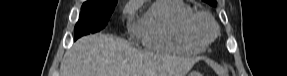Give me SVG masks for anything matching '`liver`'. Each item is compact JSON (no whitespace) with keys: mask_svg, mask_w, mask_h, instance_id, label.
<instances>
[{"mask_svg":"<svg viewBox=\"0 0 287 76\" xmlns=\"http://www.w3.org/2000/svg\"><path fill=\"white\" fill-rule=\"evenodd\" d=\"M198 61L141 52L108 34L84 36L65 53L61 76H184Z\"/></svg>","mask_w":287,"mask_h":76,"instance_id":"6515ba94","label":"liver"}]
</instances>
